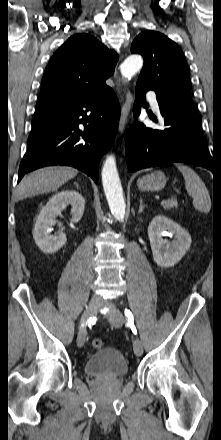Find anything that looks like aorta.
Returning <instances> with one entry per match:
<instances>
[{
    "label": "aorta",
    "instance_id": "762f6f07",
    "mask_svg": "<svg viewBox=\"0 0 221 440\" xmlns=\"http://www.w3.org/2000/svg\"><path fill=\"white\" fill-rule=\"evenodd\" d=\"M143 66L140 55H130L120 66V71L125 79L130 80ZM102 183L108 205L117 220L125 217V201L123 189L118 176L116 160L113 155L107 156L102 168Z\"/></svg>",
    "mask_w": 221,
    "mask_h": 440
}]
</instances>
